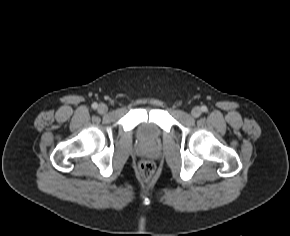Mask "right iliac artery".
<instances>
[{"instance_id": "right-iliac-artery-1", "label": "right iliac artery", "mask_w": 290, "mask_h": 236, "mask_svg": "<svg viewBox=\"0 0 290 236\" xmlns=\"http://www.w3.org/2000/svg\"><path fill=\"white\" fill-rule=\"evenodd\" d=\"M97 107H98V104H97V103H93V104H92V108H93V109H96Z\"/></svg>"}]
</instances>
